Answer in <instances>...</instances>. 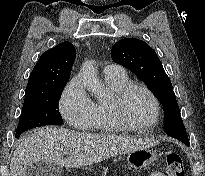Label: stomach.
Returning a JSON list of instances; mask_svg holds the SVG:
<instances>
[{
    "mask_svg": "<svg viewBox=\"0 0 205 176\" xmlns=\"http://www.w3.org/2000/svg\"><path fill=\"white\" fill-rule=\"evenodd\" d=\"M157 159V154L148 148H141L128 153L127 163L134 169H142L153 163Z\"/></svg>",
    "mask_w": 205,
    "mask_h": 176,
    "instance_id": "1",
    "label": "stomach"
}]
</instances>
